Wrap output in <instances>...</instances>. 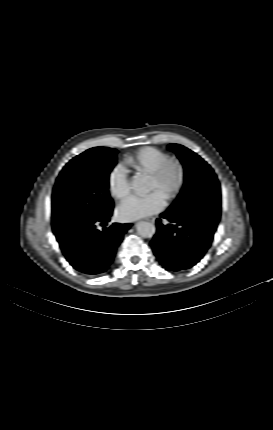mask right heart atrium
I'll return each mask as SVG.
<instances>
[{
    "mask_svg": "<svg viewBox=\"0 0 273 430\" xmlns=\"http://www.w3.org/2000/svg\"><path fill=\"white\" fill-rule=\"evenodd\" d=\"M107 183L111 195L116 199L125 198L131 191L126 169L121 164L110 170Z\"/></svg>",
    "mask_w": 273,
    "mask_h": 430,
    "instance_id": "right-heart-atrium-1",
    "label": "right heart atrium"
}]
</instances>
